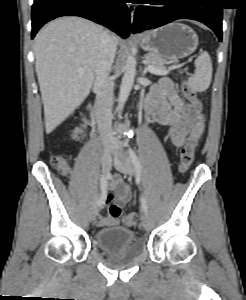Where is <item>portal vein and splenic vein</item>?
Here are the masks:
<instances>
[{
	"label": "portal vein and splenic vein",
	"instance_id": "18ae733b",
	"mask_svg": "<svg viewBox=\"0 0 246 300\" xmlns=\"http://www.w3.org/2000/svg\"><path fill=\"white\" fill-rule=\"evenodd\" d=\"M147 69L155 75H167L169 73V71L158 69L153 65H148Z\"/></svg>",
	"mask_w": 246,
	"mask_h": 300
}]
</instances>
